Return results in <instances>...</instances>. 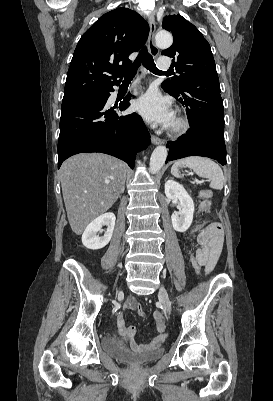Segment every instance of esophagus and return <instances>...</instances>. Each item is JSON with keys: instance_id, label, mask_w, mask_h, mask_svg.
<instances>
[{"instance_id": "1", "label": "esophagus", "mask_w": 273, "mask_h": 401, "mask_svg": "<svg viewBox=\"0 0 273 401\" xmlns=\"http://www.w3.org/2000/svg\"><path fill=\"white\" fill-rule=\"evenodd\" d=\"M149 27H150V32H149V37H148V50H149L150 55H152L153 57H157L159 54V50H158V47L154 43L156 24H155V18L153 15L149 16ZM151 140L154 145L164 144V140H162L161 138H158L155 135H151Z\"/></svg>"}]
</instances>
